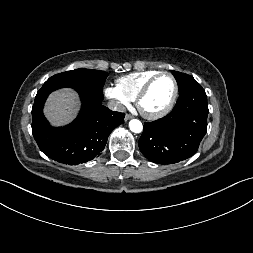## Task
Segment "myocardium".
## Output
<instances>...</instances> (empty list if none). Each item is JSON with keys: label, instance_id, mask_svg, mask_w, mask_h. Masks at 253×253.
<instances>
[{"label": "myocardium", "instance_id": "myocardium-1", "mask_svg": "<svg viewBox=\"0 0 253 253\" xmlns=\"http://www.w3.org/2000/svg\"><path fill=\"white\" fill-rule=\"evenodd\" d=\"M161 76H169L172 79L173 85H174L172 97H171L169 103L167 104V106L165 108H163L162 110H160L158 112H154V113L147 112L142 108V101L145 98V96L148 94L153 83ZM178 93H179V86H178V81H177L176 77L171 72L162 71V72H159L156 75H154L152 78H150L144 84V86L141 88V90L139 91V93L137 94V96L135 98V105L143 117H145L148 120H157V119H160V118L166 116L167 114H169L171 112V110L175 106V103H176V100L178 97Z\"/></svg>", "mask_w": 253, "mask_h": 253}]
</instances>
